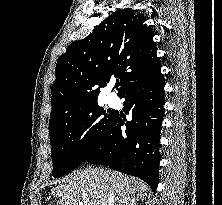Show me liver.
I'll use <instances>...</instances> for the list:
<instances>
[{
	"label": "liver",
	"mask_w": 222,
	"mask_h": 205,
	"mask_svg": "<svg viewBox=\"0 0 222 205\" xmlns=\"http://www.w3.org/2000/svg\"><path fill=\"white\" fill-rule=\"evenodd\" d=\"M146 183L119 172L90 168L67 176L52 193L59 197L57 205H103L114 192L116 205H136L147 195Z\"/></svg>",
	"instance_id": "obj_1"
}]
</instances>
